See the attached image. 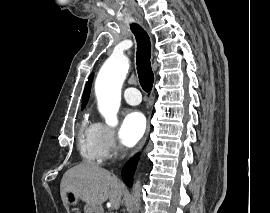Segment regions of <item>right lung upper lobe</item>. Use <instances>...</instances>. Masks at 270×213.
I'll list each match as a JSON object with an SVG mask.
<instances>
[{"label":"right lung upper lobe","instance_id":"1","mask_svg":"<svg viewBox=\"0 0 270 213\" xmlns=\"http://www.w3.org/2000/svg\"><path fill=\"white\" fill-rule=\"evenodd\" d=\"M92 76H90V78L88 79L86 86H85V90L83 93V105L82 108H84V106L86 105L88 98H89V94H90V88H91V82H92Z\"/></svg>","mask_w":270,"mask_h":213}]
</instances>
